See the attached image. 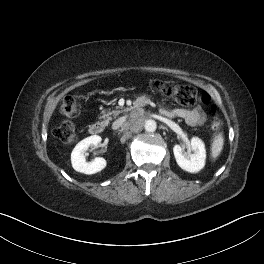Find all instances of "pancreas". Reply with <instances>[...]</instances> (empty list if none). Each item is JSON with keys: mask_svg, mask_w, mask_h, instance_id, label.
<instances>
[{"mask_svg": "<svg viewBox=\"0 0 264 264\" xmlns=\"http://www.w3.org/2000/svg\"><path fill=\"white\" fill-rule=\"evenodd\" d=\"M122 112H123L122 110H113V111L103 110L101 112L102 116H100V119H105V123H108L112 119L111 115L116 117L117 115H119Z\"/></svg>", "mask_w": 264, "mask_h": 264, "instance_id": "pancreas-1", "label": "pancreas"}]
</instances>
